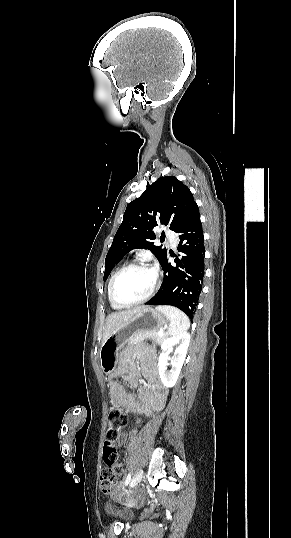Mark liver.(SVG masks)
Returning a JSON list of instances; mask_svg holds the SVG:
<instances>
[{
	"instance_id": "1",
	"label": "liver",
	"mask_w": 291,
	"mask_h": 538,
	"mask_svg": "<svg viewBox=\"0 0 291 538\" xmlns=\"http://www.w3.org/2000/svg\"><path fill=\"white\" fill-rule=\"evenodd\" d=\"M144 308H146V306H139L129 310L109 314L106 318L104 326L102 344L115 330L127 324L136 313Z\"/></svg>"
}]
</instances>
